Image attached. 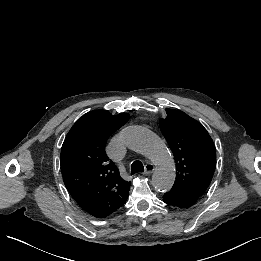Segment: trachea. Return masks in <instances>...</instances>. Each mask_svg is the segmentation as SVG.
I'll use <instances>...</instances> for the list:
<instances>
[{
	"instance_id": "3493384b",
	"label": "trachea",
	"mask_w": 261,
	"mask_h": 261,
	"mask_svg": "<svg viewBox=\"0 0 261 261\" xmlns=\"http://www.w3.org/2000/svg\"><path fill=\"white\" fill-rule=\"evenodd\" d=\"M144 171V166L141 161L136 160L131 164V175L143 172Z\"/></svg>"
}]
</instances>
